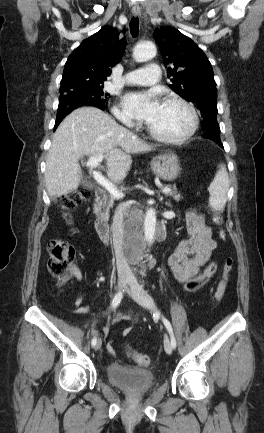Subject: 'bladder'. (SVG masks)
Returning <instances> with one entry per match:
<instances>
[{
    "label": "bladder",
    "instance_id": "31cf9c89",
    "mask_svg": "<svg viewBox=\"0 0 264 433\" xmlns=\"http://www.w3.org/2000/svg\"><path fill=\"white\" fill-rule=\"evenodd\" d=\"M110 382L129 393L142 394L154 386L153 374L121 363H111L106 368Z\"/></svg>",
    "mask_w": 264,
    "mask_h": 433
}]
</instances>
